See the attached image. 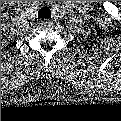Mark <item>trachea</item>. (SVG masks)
<instances>
[{
    "label": "trachea",
    "mask_w": 121,
    "mask_h": 121,
    "mask_svg": "<svg viewBox=\"0 0 121 121\" xmlns=\"http://www.w3.org/2000/svg\"><path fill=\"white\" fill-rule=\"evenodd\" d=\"M38 18H51V11L48 7L44 6L38 11Z\"/></svg>",
    "instance_id": "trachea-1"
}]
</instances>
